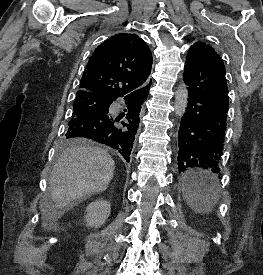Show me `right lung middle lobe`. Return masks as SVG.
Returning a JSON list of instances; mask_svg holds the SVG:
<instances>
[{"instance_id": "dd1d6c3e", "label": "right lung middle lobe", "mask_w": 263, "mask_h": 275, "mask_svg": "<svg viewBox=\"0 0 263 275\" xmlns=\"http://www.w3.org/2000/svg\"><path fill=\"white\" fill-rule=\"evenodd\" d=\"M111 102L93 94L78 95L73 105V114L70 122H73L77 118L87 114H103L109 111ZM69 122V123H70ZM61 144L63 146L77 144V140L63 137Z\"/></svg>"}]
</instances>
